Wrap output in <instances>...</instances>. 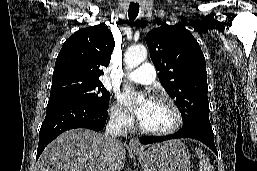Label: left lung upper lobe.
Returning <instances> with one entry per match:
<instances>
[{"mask_svg":"<svg viewBox=\"0 0 257 171\" xmlns=\"http://www.w3.org/2000/svg\"><path fill=\"white\" fill-rule=\"evenodd\" d=\"M146 43L160 82L175 100L184 125L196 121L210 124L205 58L191 32L163 23L147 33Z\"/></svg>","mask_w":257,"mask_h":171,"instance_id":"left-lung-upper-lobe-1","label":"left lung upper lobe"}]
</instances>
